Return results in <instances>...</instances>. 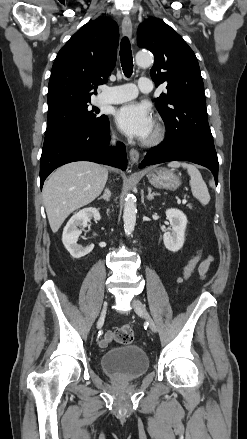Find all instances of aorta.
<instances>
[{
  "mask_svg": "<svg viewBox=\"0 0 247 439\" xmlns=\"http://www.w3.org/2000/svg\"><path fill=\"white\" fill-rule=\"evenodd\" d=\"M154 61V57L150 52H139L136 54V64L140 67H148ZM136 203L132 194H127L124 203L123 221L124 231L126 234H131L135 228L136 223Z\"/></svg>",
  "mask_w": 247,
  "mask_h": 439,
  "instance_id": "aorta-1",
  "label": "aorta"
}]
</instances>
